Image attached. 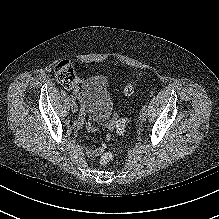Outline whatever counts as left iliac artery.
<instances>
[{
	"instance_id": "left-iliac-artery-1",
	"label": "left iliac artery",
	"mask_w": 219,
	"mask_h": 219,
	"mask_svg": "<svg viewBox=\"0 0 219 219\" xmlns=\"http://www.w3.org/2000/svg\"><path fill=\"white\" fill-rule=\"evenodd\" d=\"M142 110H147V104H144L143 106H142Z\"/></svg>"
}]
</instances>
